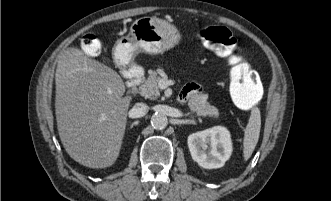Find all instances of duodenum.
I'll list each match as a JSON object with an SVG mask.
<instances>
[{"mask_svg": "<svg viewBox=\"0 0 331 201\" xmlns=\"http://www.w3.org/2000/svg\"><path fill=\"white\" fill-rule=\"evenodd\" d=\"M143 70L140 67L133 66L128 69V80H127V87L129 89H134L141 78L143 77Z\"/></svg>", "mask_w": 331, "mask_h": 201, "instance_id": "410a0bca", "label": "duodenum"}]
</instances>
